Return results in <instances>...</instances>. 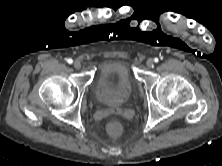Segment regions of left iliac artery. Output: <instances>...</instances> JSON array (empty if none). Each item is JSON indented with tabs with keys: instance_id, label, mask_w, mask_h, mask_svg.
Returning a JSON list of instances; mask_svg holds the SVG:
<instances>
[{
	"instance_id": "left-iliac-artery-1",
	"label": "left iliac artery",
	"mask_w": 222,
	"mask_h": 166,
	"mask_svg": "<svg viewBox=\"0 0 222 166\" xmlns=\"http://www.w3.org/2000/svg\"><path fill=\"white\" fill-rule=\"evenodd\" d=\"M154 61H155V62H158L159 60H158V58H155Z\"/></svg>"
}]
</instances>
